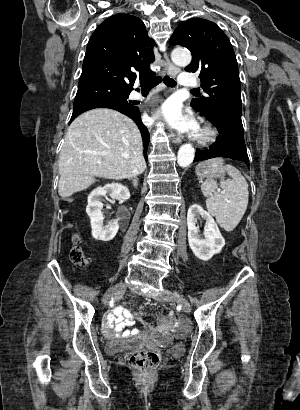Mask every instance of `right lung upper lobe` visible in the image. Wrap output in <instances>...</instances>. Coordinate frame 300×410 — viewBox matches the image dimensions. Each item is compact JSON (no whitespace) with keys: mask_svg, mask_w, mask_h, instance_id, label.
Here are the masks:
<instances>
[{"mask_svg":"<svg viewBox=\"0 0 300 410\" xmlns=\"http://www.w3.org/2000/svg\"><path fill=\"white\" fill-rule=\"evenodd\" d=\"M155 42L144 23L128 14H116L103 21L92 34L79 82H101L132 91L136 80L155 75Z\"/></svg>","mask_w":300,"mask_h":410,"instance_id":"cb5924a9","label":"right lung upper lobe"}]
</instances>
